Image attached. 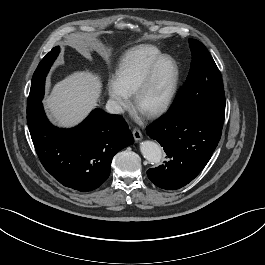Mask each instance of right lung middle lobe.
I'll return each mask as SVG.
<instances>
[{
  "mask_svg": "<svg viewBox=\"0 0 265 265\" xmlns=\"http://www.w3.org/2000/svg\"><path fill=\"white\" fill-rule=\"evenodd\" d=\"M59 51V46L53 48L39 63L32 78L30 94L27 101V111L32 110L41 103L44 95L45 77Z\"/></svg>",
  "mask_w": 265,
  "mask_h": 265,
  "instance_id": "right-lung-middle-lobe-1",
  "label": "right lung middle lobe"
}]
</instances>
